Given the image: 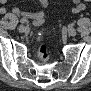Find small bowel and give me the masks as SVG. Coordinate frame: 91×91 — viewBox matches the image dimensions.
<instances>
[{
  "instance_id": "c3829d8e",
  "label": "small bowel",
  "mask_w": 91,
  "mask_h": 91,
  "mask_svg": "<svg viewBox=\"0 0 91 91\" xmlns=\"http://www.w3.org/2000/svg\"><path fill=\"white\" fill-rule=\"evenodd\" d=\"M39 5L42 6V7H46L48 5V0H39L38 1ZM85 9V4L79 0L75 1V4L73 6V12L75 13H78V12H81ZM7 12V9L2 6L0 8V13L1 14H5ZM12 13L15 14V15H19V16H26L27 13L24 12V11H21L20 9L18 8H13L12 9ZM36 17L35 21L37 23H40L44 17L43 13H38L36 15H34Z\"/></svg>"
}]
</instances>
